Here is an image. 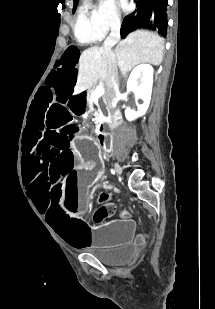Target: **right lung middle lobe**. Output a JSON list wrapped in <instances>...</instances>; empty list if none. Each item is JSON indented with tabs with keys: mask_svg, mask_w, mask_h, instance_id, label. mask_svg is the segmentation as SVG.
I'll list each match as a JSON object with an SVG mask.
<instances>
[{
	"mask_svg": "<svg viewBox=\"0 0 215 309\" xmlns=\"http://www.w3.org/2000/svg\"><path fill=\"white\" fill-rule=\"evenodd\" d=\"M77 4H78V2H77V3H74L73 11H75V9H76V7H77Z\"/></svg>",
	"mask_w": 215,
	"mask_h": 309,
	"instance_id": "1",
	"label": "right lung middle lobe"
}]
</instances>
